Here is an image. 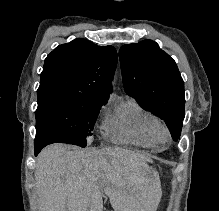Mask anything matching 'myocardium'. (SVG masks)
<instances>
[{"label": "myocardium", "mask_w": 219, "mask_h": 211, "mask_svg": "<svg viewBox=\"0 0 219 211\" xmlns=\"http://www.w3.org/2000/svg\"><path fill=\"white\" fill-rule=\"evenodd\" d=\"M159 135L162 140H167L169 138V131L166 127L161 126L159 130Z\"/></svg>", "instance_id": "f54148a6"}]
</instances>
